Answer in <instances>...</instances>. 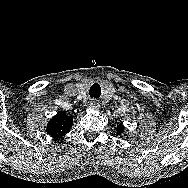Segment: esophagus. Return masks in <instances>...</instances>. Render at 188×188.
<instances>
[{
	"mask_svg": "<svg viewBox=\"0 0 188 188\" xmlns=\"http://www.w3.org/2000/svg\"><path fill=\"white\" fill-rule=\"evenodd\" d=\"M100 107L99 103L97 101H91L90 102V108L92 109H98Z\"/></svg>",
	"mask_w": 188,
	"mask_h": 188,
	"instance_id": "obj_1",
	"label": "esophagus"
}]
</instances>
